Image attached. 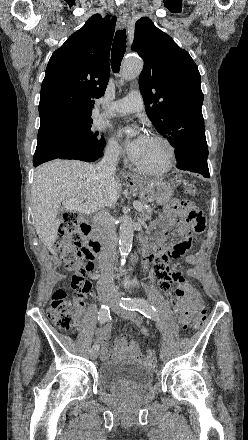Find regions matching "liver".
Masks as SVG:
<instances>
[{
  "label": "liver",
  "mask_w": 248,
  "mask_h": 440,
  "mask_svg": "<svg viewBox=\"0 0 248 440\" xmlns=\"http://www.w3.org/2000/svg\"><path fill=\"white\" fill-rule=\"evenodd\" d=\"M121 185L114 176H104L94 165L76 160H54L38 167L31 190L35 229L41 242L55 254L53 245L61 224L57 218L61 202L85 200L96 210L114 206Z\"/></svg>",
  "instance_id": "6515ba94"
}]
</instances>
